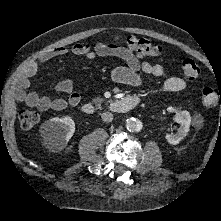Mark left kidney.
Wrapping results in <instances>:
<instances>
[{
	"label": "left kidney",
	"mask_w": 221,
	"mask_h": 221,
	"mask_svg": "<svg viewBox=\"0 0 221 221\" xmlns=\"http://www.w3.org/2000/svg\"><path fill=\"white\" fill-rule=\"evenodd\" d=\"M168 111L176 113L175 120L180 124V128L177 133L166 135V140L168 143L176 145L179 144V142L188 135L189 127L191 124V116L188 111H180L173 107H169Z\"/></svg>",
	"instance_id": "1"
}]
</instances>
